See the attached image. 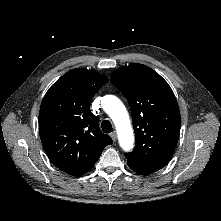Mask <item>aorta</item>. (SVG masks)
I'll return each instance as SVG.
<instances>
[{"instance_id": "762f6f07", "label": "aorta", "mask_w": 221, "mask_h": 221, "mask_svg": "<svg viewBox=\"0 0 221 221\" xmlns=\"http://www.w3.org/2000/svg\"><path fill=\"white\" fill-rule=\"evenodd\" d=\"M101 106L115 124L120 146L130 151L134 144V133L124 104L116 96L106 95L102 98Z\"/></svg>"}]
</instances>
